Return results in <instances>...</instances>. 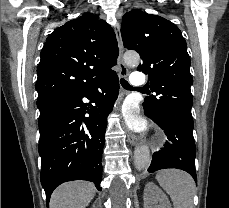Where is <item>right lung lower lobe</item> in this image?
<instances>
[{
  "instance_id": "1",
  "label": "right lung lower lobe",
  "mask_w": 229,
  "mask_h": 208,
  "mask_svg": "<svg viewBox=\"0 0 229 208\" xmlns=\"http://www.w3.org/2000/svg\"><path fill=\"white\" fill-rule=\"evenodd\" d=\"M118 92V76H109L96 88L73 97L39 119L40 180L47 206L53 190L66 181H92L101 191L107 117ZM84 97L95 106L87 107ZM87 113L89 117H84Z\"/></svg>"
}]
</instances>
